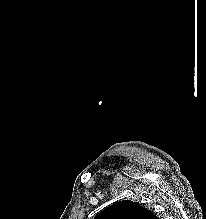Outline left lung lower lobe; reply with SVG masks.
Instances as JSON below:
<instances>
[{
    "label": "left lung lower lobe",
    "instance_id": "left-lung-lower-lobe-1",
    "mask_svg": "<svg viewBox=\"0 0 206 219\" xmlns=\"http://www.w3.org/2000/svg\"><path fill=\"white\" fill-rule=\"evenodd\" d=\"M152 219H159L156 215H153Z\"/></svg>",
    "mask_w": 206,
    "mask_h": 219
}]
</instances>
